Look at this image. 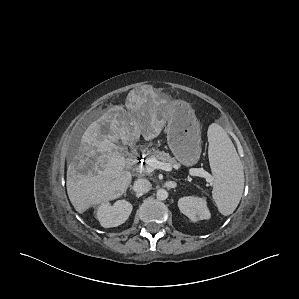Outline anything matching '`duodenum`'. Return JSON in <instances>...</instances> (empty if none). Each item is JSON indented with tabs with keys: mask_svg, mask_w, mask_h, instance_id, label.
Here are the masks:
<instances>
[{
	"mask_svg": "<svg viewBox=\"0 0 299 299\" xmlns=\"http://www.w3.org/2000/svg\"><path fill=\"white\" fill-rule=\"evenodd\" d=\"M137 159V155H133L131 158H130V163H134Z\"/></svg>",
	"mask_w": 299,
	"mask_h": 299,
	"instance_id": "obj_1",
	"label": "duodenum"
}]
</instances>
